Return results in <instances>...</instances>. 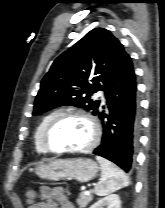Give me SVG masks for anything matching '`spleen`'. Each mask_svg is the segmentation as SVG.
<instances>
[{
    "label": "spleen",
    "instance_id": "1",
    "mask_svg": "<svg viewBox=\"0 0 165 208\" xmlns=\"http://www.w3.org/2000/svg\"><path fill=\"white\" fill-rule=\"evenodd\" d=\"M96 160L102 169L100 181L94 190L98 196L108 195L129 185L127 175L119 167L100 156H96Z\"/></svg>",
    "mask_w": 165,
    "mask_h": 208
}]
</instances>
